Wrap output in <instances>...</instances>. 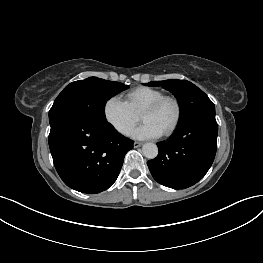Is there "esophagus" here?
<instances>
[{
  "label": "esophagus",
  "instance_id": "34e87169",
  "mask_svg": "<svg viewBox=\"0 0 263 263\" xmlns=\"http://www.w3.org/2000/svg\"><path fill=\"white\" fill-rule=\"evenodd\" d=\"M134 148H138V147H140V146H142V143L141 142H134Z\"/></svg>",
  "mask_w": 263,
  "mask_h": 263
}]
</instances>
